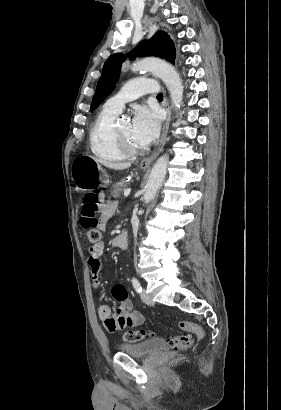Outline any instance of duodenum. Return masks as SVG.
Wrapping results in <instances>:
<instances>
[{
  "instance_id": "1",
  "label": "duodenum",
  "mask_w": 281,
  "mask_h": 410,
  "mask_svg": "<svg viewBox=\"0 0 281 410\" xmlns=\"http://www.w3.org/2000/svg\"><path fill=\"white\" fill-rule=\"evenodd\" d=\"M128 244V233L126 230H123L121 234L115 238L114 246L120 249H124Z\"/></svg>"
}]
</instances>
